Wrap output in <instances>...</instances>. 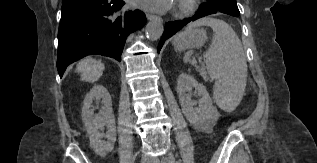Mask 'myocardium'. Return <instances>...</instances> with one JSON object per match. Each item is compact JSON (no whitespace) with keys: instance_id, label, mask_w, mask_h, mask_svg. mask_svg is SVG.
Listing matches in <instances>:
<instances>
[{"instance_id":"myocardium-1","label":"myocardium","mask_w":317,"mask_h":163,"mask_svg":"<svg viewBox=\"0 0 317 163\" xmlns=\"http://www.w3.org/2000/svg\"><path fill=\"white\" fill-rule=\"evenodd\" d=\"M199 0H178L174 8V14L178 17H185L196 11Z\"/></svg>"}]
</instances>
